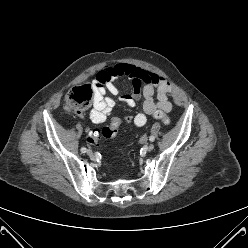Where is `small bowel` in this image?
<instances>
[{
	"label": "small bowel",
	"mask_w": 248,
	"mask_h": 248,
	"mask_svg": "<svg viewBox=\"0 0 248 248\" xmlns=\"http://www.w3.org/2000/svg\"><path fill=\"white\" fill-rule=\"evenodd\" d=\"M125 77L132 81V94L124 97L127 106L133 107L137 100L144 97L142 110L134 116V125L141 127L147 122V116L156 112H169L171 103L168 99L173 84L163 75L133 66L116 63L104 67L94 80L95 97L89 117L93 123H103L115 105L112 98L105 96L106 91L119 95L117 79ZM156 95V99L154 96ZM95 144V143H91Z\"/></svg>",
	"instance_id": "small-bowel-1"
}]
</instances>
